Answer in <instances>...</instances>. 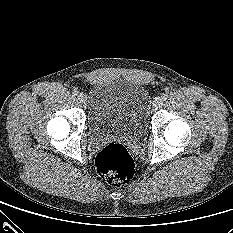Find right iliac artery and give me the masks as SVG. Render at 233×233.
Wrapping results in <instances>:
<instances>
[{
  "label": "right iliac artery",
  "mask_w": 233,
  "mask_h": 233,
  "mask_svg": "<svg viewBox=\"0 0 233 233\" xmlns=\"http://www.w3.org/2000/svg\"><path fill=\"white\" fill-rule=\"evenodd\" d=\"M72 93H73L74 96H77V95L79 94V91H78L77 89H74V90L72 91Z\"/></svg>",
  "instance_id": "right-iliac-artery-1"
}]
</instances>
